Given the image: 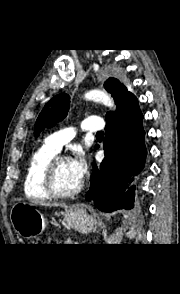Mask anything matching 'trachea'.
I'll return each instance as SVG.
<instances>
[{
	"mask_svg": "<svg viewBox=\"0 0 180 294\" xmlns=\"http://www.w3.org/2000/svg\"><path fill=\"white\" fill-rule=\"evenodd\" d=\"M97 135H104V132L100 131L97 133Z\"/></svg>",
	"mask_w": 180,
	"mask_h": 294,
	"instance_id": "obj_1",
	"label": "trachea"
}]
</instances>
